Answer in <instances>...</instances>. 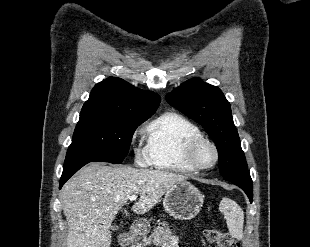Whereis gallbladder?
Masks as SVG:
<instances>
[{
    "instance_id": "bac80fb5",
    "label": "gallbladder",
    "mask_w": 310,
    "mask_h": 247,
    "mask_svg": "<svg viewBox=\"0 0 310 247\" xmlns=\"http://www.w3.org/2000/svg\"><path fill=\"white\" fill-rule=\"evenodd\" d=\"M112 229H113V230H116V229H117V227H113Z\"/></svg>"
}]
</instances>
